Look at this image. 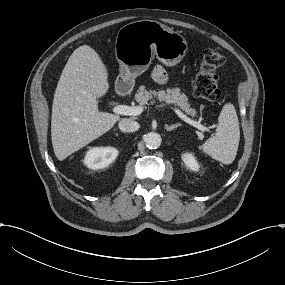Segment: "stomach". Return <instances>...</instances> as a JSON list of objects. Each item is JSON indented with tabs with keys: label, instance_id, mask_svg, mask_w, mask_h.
<instances>
[{
	"label": "stomach",
	"instance_id": "1",
	"mask_svg": "<svg viewBox=\"0 0 285 285\" xmlns=\"http://www.w3.org/2000/svg\"><path fill=\"white\" fill-rule=\"evenodd\" d=\"M187 51V42L178 32L155 20H139L121 27L115 40L119 63V82L134 83L145 72L153 55L167 66L179 63Z\"/></svg>",
	"mask_w": 285,
	"mask_h": 285
}]
</instances>
